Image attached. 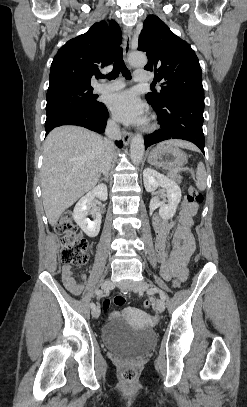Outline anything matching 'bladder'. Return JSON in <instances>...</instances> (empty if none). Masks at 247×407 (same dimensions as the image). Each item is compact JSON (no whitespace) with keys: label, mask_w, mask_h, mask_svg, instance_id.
<instances>
[{"label":"bladder","mask_w":247,"mask_h":407,"mask_svg":"<svg viewBox=\"0 0 247 407\" xmlns=\"http://www.w3.org/2000/svg\"><path fill=\"white\" fill-rule=\"evenodd\" d=\"M102 340L112 352L135 358L155 346L156 333L150 327H132L121 315H116L104 324Z\"/></svg>","instance_id":"1"}]
</instances>
